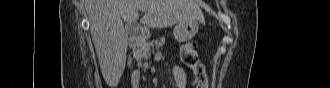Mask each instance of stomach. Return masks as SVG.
I'll list each match as a JSON object with an SVG mask.
<instances>
[{"label":"stomach","mask_w":330,"mask_h":88,"mask_svg":"<svg viewBox=\"0 0 330 88\" xmlns=\"http://www.w3.org/2000/svg\"><path fill=\"white\" fill-rule=\"evenodd\" d=\"M199 24L197 21L179 22L173 29V35L178 42L191 40L198 32Z\"/></svg>","instance_id":"obj_1"}]
</instances>
